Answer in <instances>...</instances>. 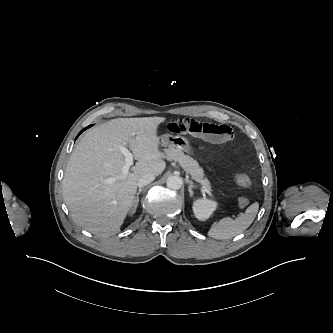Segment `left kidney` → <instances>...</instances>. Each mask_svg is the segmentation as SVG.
I'll return each instance as SVG.
<instances>
[{
  "label": "left kidney",
  "instance_id": "obj_1",
  "mask_svg": "<svg viewBox=\"0 0 333 333\" xmlns=\"http://www.w3.org/2000/svg\"><path fill=\"white\" fill-rule=\"evenodd\" d=\"M217 207V202L209 199H197L193 204V211L197 219L207 220Z\"/></svg>",
  "mask_w": 333,
  "mask_h": 333
}]
</instances>
